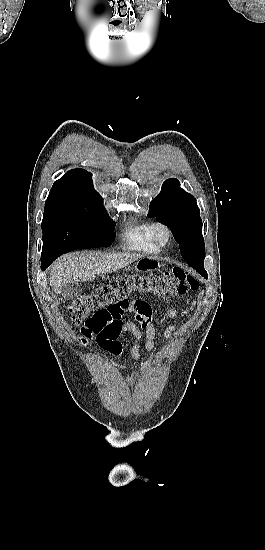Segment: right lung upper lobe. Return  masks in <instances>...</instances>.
I'll return each instance as SVG.
<instances>
[{
  "instance_id": "obj_1",
  "label": "right lung upper lobe",
  "mask_w": 265,
  "mask_h": 550,
  "mask_svg": "<svg viewBox=\"0 0 265 550\" xmlns=\"http://www.w3.org/2000/svg\"><path fill=\"white\" fill-rule=\"evenodd\" d=\"M87 198H100L94 189L92 174L84 169H72L54 182L46 202H71Z\"/></svg>"
}]
</instances>
